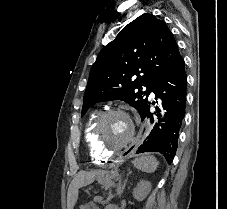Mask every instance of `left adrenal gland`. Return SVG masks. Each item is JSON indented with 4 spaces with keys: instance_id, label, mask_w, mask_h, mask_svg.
Instances as JSON below:
<instances>
[{
    "instance_id": "a2214340",
    "label": "left adrenal gland",
    "mask_w": 227,
    "mask_h": 209,
    "mask_svg": "<svg viewBox=\"0 0 227 209\" xmlns=\"http://www.w3.org/2000/svg\"><path fill=\"white\" fill-rule=\"evenodd\" d=\"M126 183H127V181H124L123 185H122L121 181H119V183H118L117 195H120V197L125 189Z\"/></svg>"
}]
</instances>
